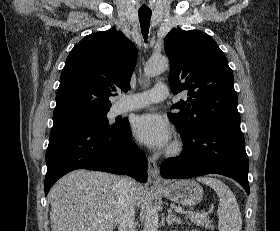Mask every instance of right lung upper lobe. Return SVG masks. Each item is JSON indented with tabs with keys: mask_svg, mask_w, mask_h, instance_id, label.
<instances>
[{
	"mask_svg": "<svg viewBox=\"0 0 280 231\" xmlns=\"http://www.w3.org/2000/svg\"><path fill=\"white\" fill-rule=\"evenodd\" d=\"M136 58L134 44L114 28L84 37L62 70L53 125L107 113L109 97L130 89Z\"/></svg>",
	"mask_w": 280,
	"mask_h": 231,
	"instance_id": "right-lung-upper-lobe-1",
	"label": "right lung upper lobe"
}]
</instances>
